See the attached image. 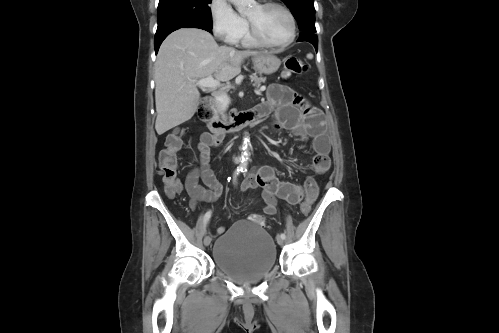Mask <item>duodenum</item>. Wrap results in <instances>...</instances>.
Masks as SVG:
<instances>
[{
  "mask_svg": "<svg viewBox=\"0 0 499 333\" xmlns=\"http://www.w3.org/2000/svg\"><path fill=\"white\" fill-rule=\"evenodd\" d=\"M263 116L264 112L259 107L235 112L226 120L211 118L207 110L201 111V117L209 122L210 134L215 137L238 132L244 127L256 123Z\"/></svg>",
  "mask_w": 499,
  "mask_h": 333,
  "instance_id": "1",
  "label": "duodenum"
}]
</instances>
